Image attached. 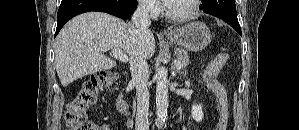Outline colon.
<instances>
[{"label":"colon","mask_w":299,"mask_h":130,"mask_svg":"<svg viewBox=\"0 0 299 130\" xmlns=\"http://www.w3.org/2000/svg\"><path fill=\"white\" fill-rule=\"evenodd\" d=\"M227 61L226 53L218 54L208 67L209 76H215ZM116 78L115 73L105 70L88 77L76 97L66 106L64 120L67 130H103L88 118L87 112L96 103L99 92L111 88ZM213 84L219 100V121L216 130H226L229 120L227 93L221 84L217 82Z\"/></svg>","instance_id":"colon-1"}]
</instances>
